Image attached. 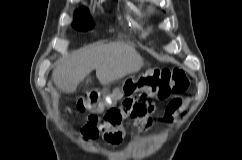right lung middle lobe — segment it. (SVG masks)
Masks as SVG:
<instances>
[{"instance_id": "obj_1", "label": "right lung middle lobe", "mask_w": 242, "mask_h": 160, "mask_svg": "<svg viewBox=\"0 0 242 160\" xmlns=\"http://www.w3.org/2000/svg\"><path fill=\"white\" fill-rule=\"evenodd\" d=\"M73 26L79 30L92 28L93 23L89 15V11L86 8H81L76 11Z\"/></svg>"}]
</instances>
